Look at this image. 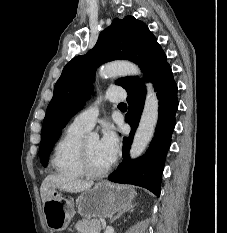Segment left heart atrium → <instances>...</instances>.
Instances as JSON below:
<instances>
[{"mask_svg": "<svg viewBox=\"0 0 227 233\" xmlns=\"http://www.w3.org/2000/svg\"><path fill=\"white\" fill-rule=\"evenodd\" d=\"M99 149L110 163L114 161L118 153L119 141L116 132L109 125L103 128L102 136L99 140Z\"/></svg>", "mask_w": 227, "mask_h": 233, "instance_id": "39dd6f15", "label": "left heart atrium"}]
</instances>
